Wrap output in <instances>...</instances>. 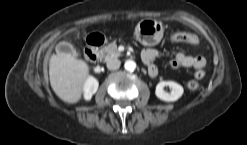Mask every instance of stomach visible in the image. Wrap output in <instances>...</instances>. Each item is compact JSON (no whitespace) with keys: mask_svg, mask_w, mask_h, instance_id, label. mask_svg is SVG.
Masks as SVG:
<instances>
[{"mask_svg":"<svg viewBox=\"0 0 247 145\" xmlns=\"http://www.w3.org/2000/svg\"><path fill=\"white\" fill-rule=\"evenodd\" d=\"M163 25L161 22L153 19L141 20L136 28V39L146 46L157 45L163 37Z\"/></svg>","mask_w":247,"mask_h":145,"instance_id":"obj_1","label":"stomach"}]
</instances>
